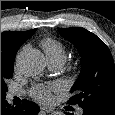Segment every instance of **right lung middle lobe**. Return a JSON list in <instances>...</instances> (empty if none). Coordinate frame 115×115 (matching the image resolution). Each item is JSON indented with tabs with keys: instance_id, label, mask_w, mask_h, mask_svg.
Masks as SVG:
<instances>
[{
	"instance_id": "dd1d6c3e",
	"label": "right lung middle lobe",
	"mask_w": 115,
	"mask_h": 115,
	"mask_svg": "<svg viewBox=\"0 0 115 115\" xmlns=\"http://www.w3.org/2000/svg\"><path fill=\"white\" fill-rule=\"evenodd\" d=\"M13 71H2L1 72V99L6 97L7 86L5 84V80L11 78Z\"/></svg>"
}]
</instances>
